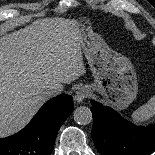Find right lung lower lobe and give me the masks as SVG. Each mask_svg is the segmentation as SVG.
Instances as JSON below:
<instances>
[{
    "label": "right lung lower lobe",
    "mask_w": 155,
    "mask_h": 155,
    "mask_svg": "<svg viewBox=\"0 0 155 155\" xmlns=\"http://www.w3.org/2000/svg\"><path fill=\"white\" fill-rule=\"evenodd\" d=\"M72 99L63 94L46 102L23 130L0 139V155H50L59 128L73 110Z\"/></svg>",
    "instance_id": "right-lung-lower-lobe-1"
}]
</instances>
